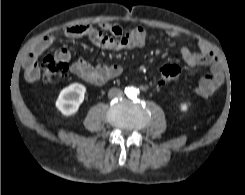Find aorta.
I'll return each instance as SVG.
<instances>
[{
    "mask_svg": "<svg viewBox=\"0 0 245 195\" xmlns=\"http://www.w3.org/2000/svg\"><path fill=\"white\" fill-rule=\"evenodd\" d=\"M138 90L134 87H130L127 89L126 94L128 97H135L137 96Z\"/></svg>",
    "mask_w": 245,
    "mask_h": 195,
    "instance_id": "762f6f07",
    "label": "aorta"
}]
</instances>
